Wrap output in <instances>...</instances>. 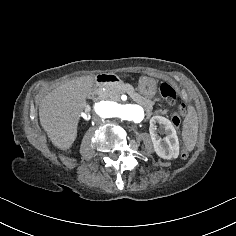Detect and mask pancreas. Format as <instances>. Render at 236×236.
Instances as JSON below:
<instances>
[{"instance_id": "obj_1", "label": "pancreas", "mask_w": 236, "mask_h": 236, "mask_svg": "<svg viewBox=\"0 0 236 236\" xmlns=\"http://www.w3.org/2000/svg\"><path fill=\"white\" fill-rule=\"evenodd\" d=\"M127 93L136 103L141 105L146 111L148 116L152 115L154 101L141 96L137 93L134 87L128 83L120 82L113 86L106 88L104 92L99 93L100 99L111 100V101H120L121 94ZM166 114L167 110H156L155 114Z\"/></svg>"}]
</instances>
